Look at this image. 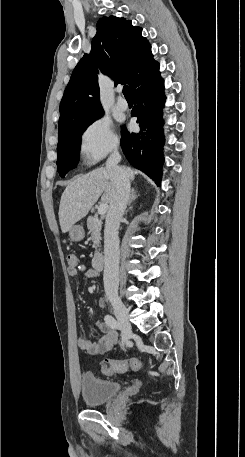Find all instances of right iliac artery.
<instances>
[{"label": "right iliac artery", "instance_id": "right-iliac-artery-1", "mask_svg": "<svg viewBox=\"0 0 245 457\" xmlns=\"http://www.w3.org/2000/svg\"><path fill=\"white\" fill-rule=\"evenodd\" d=\"M104 320H105V323H106L108 326H110L112 329H117V327H118V322H117V320H116L113 316H111V315H106L105 318H104Z\"/></svg>", "mask_w": 245, "mask_h": 457}]
</instances>
